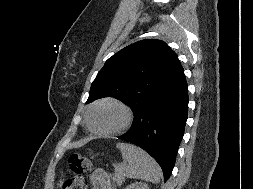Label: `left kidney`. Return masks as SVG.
Masks as SVG:
<instances>
[{"label":"left kidney","mask_w":253,"mask_h":189,"mask_svg":"<svg viewBox=\"0 0 253 189\" xmlns=\"http://www.w3.org/2000/svg\"><path fill=\"white\" fill-rule=\"evenodd\" d=\"M125 189H149L146 183L134 182L128 185Z\"/></svg>","instance_id":"1"}]
</instances>
